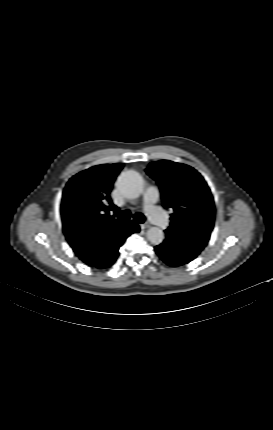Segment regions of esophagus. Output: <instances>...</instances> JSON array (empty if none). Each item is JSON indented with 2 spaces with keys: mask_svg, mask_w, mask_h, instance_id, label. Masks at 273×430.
Returning <instances> with one entry per match:
<instances>
[{
  "mask_svg": "<svg viewBox=\"0 0 273 430\" xmlns=\"http://www.w3.org/2000/svg\"><path fill=\"white\" fill-rule=\"evenodd\" d=\"M150 228V225L147 223L141 224V229H147Z\"/></svg>",
  "mask_w": 273,
  "mask_h": 430,
  "instance_id": "34e87169",
  "label": "esophagus"
}]
</instances>
